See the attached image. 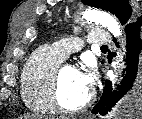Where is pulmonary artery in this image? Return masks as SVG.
<instances>
[{
	"label": "pulmonary artery",
	"mask_w": 142,
	"mask_h": 119,
	"mask_svg": "<svg viewBox=\"0 0 142 119\" xmlns=\"http://www.w3.org/2000/svg\"><path fill=\"white\" fill-rule=\"evenodd\" d=\"M86 40L91 45H109L113 43L111 35L107 31L99 28L90 31L86 37ZM82 41V38L71 37L56 41L51 45V47L58 54V56L64 60L82 47Z\"/></svg>",
	"instance_id": "1"
}]
</instances>
